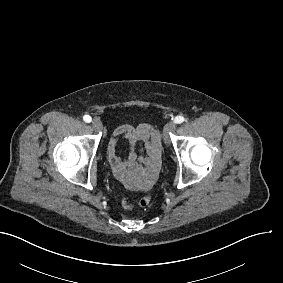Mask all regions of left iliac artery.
Returning a JSON list of instances; mask_svg holds the SVG:
<instances>
[{
	"mask_svg": "<svg viewBox=\"0 0 283 283\" xmlns=\"http://www.w3.org/2000/svg\"><path fill=\"white\" fill-rule=\"evenodd\" d=\"M184 120L185 119H184L183 116H177V117H175L174 122L177 123V124H180V123L184 122Z\"/></svg>",
	"mask_w": 283,
	"mask_h": 283,
	"instance_id": "obj_1",
	"label": "left iliac artery"
}]
</instances>
